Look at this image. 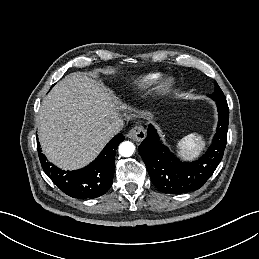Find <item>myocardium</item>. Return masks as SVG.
<instances>
[{
  "mask_svg": "<svg viewBox=\"0 0 259 259\" xmlns=\"http://www.w3.org/2000/svg\"><path fill=\"white\" fill-rule=\"evenodd\" d=\"M173 86V80L171 78L163 79L156 87V94L163 96L167 94Z\"/></svg>",
  "mask_w": 259,
  "mask_h": 259,
  "instance_id": "f54148a6",
  "label": "myocardium"
}]
</instances>
